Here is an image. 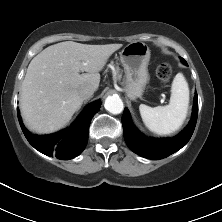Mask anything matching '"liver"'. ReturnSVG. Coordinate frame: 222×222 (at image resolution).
<instances>
[{"label": "liver", "instance_id": "obj_1", "mask_svg": "<svg viewBox=\"0 0 222 222\" xmlns=\"http://www.w3.org/2000/svg\"><path fill=\"white\" fill-rule=\"evenodd\" d=\"M121 47L65 41L35 56L21 86L20 110L26 126L38 134L64 127L85 100L79 89L85 85L98 89L99 72Z\"/></svg>", "mask_w": 222, "mask_h": 222}]
</instances>
